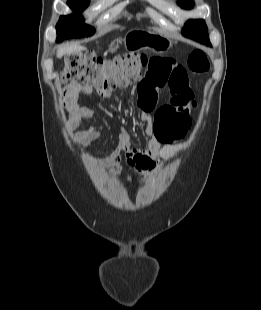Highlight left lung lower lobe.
Returning <instances> with one entry per match:
<instances>
[{
  "label": "left lung lower lobe",
  "mask_w": 261,
  "mask_h": 310,
  "mask_svg": "<svg viewBox=\"0 0 261 310\" xmlns=\"http://www.w3.org/2000/svg\"><path fill=\"white\" fill-rule=\"evenodd\" d=\"M194 40H197L203 44H206L208 46H211L210 42H209V37H208V33L207 31L205 33L199 34V35H195L193 37Z\"/></svg>",
  "instance_id": "0a47b994"
}]
</instances>
